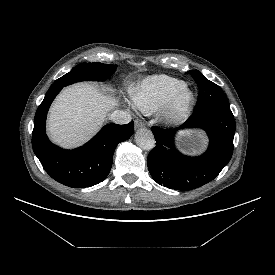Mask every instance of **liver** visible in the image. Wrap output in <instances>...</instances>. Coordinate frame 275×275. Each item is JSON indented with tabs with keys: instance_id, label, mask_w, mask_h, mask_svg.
I'll return each mask as SVG.
<instances>
[{
	"instance_id": "liver-1",
	"label": "liver",
	"mask_w": 275,
	"mask_h": 275,
	"mask_svg": "<svg viewBox=\"0 0 275 275\" xmlns=\"http://www.w3.org/2000/svg\"><path fill=\"white\" fill-rule=\"evenodd\" d=\"M117 100L89 83L68 86L57 96L48 118L51 140L71 148L87 142L102 126Z\"/></svg>"
}]
</instances>
